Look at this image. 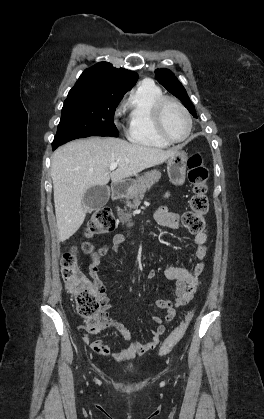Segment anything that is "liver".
<instances>
[{"label":"liver","instance_id":"liver-1","mask_svg":"<svg viewBox=\"0 0 264 419\" xmlns=\"http://www.w3.org/2000/svg\"><path fill=\"white\" fill-rule=\"evenodd\" d=\"M177 149L162 150L132 144L113 137H91L69 142L53 155L51 178L58 236L69 239L81 227L86 216L85 192L93 186H106L161 164ZM117 169L109 171L112 163Z\"/></svg>","mask_w":264,"mask_h":419}]
</instances>
